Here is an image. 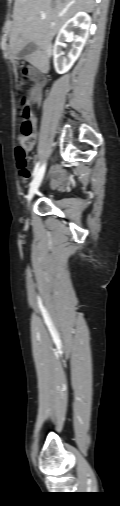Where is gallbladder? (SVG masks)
Here are the masks:
<instances>
[{
    "label": "gallbladder",
    "mask_w": 120,
    "mask_h": 506,
    "mask_svg": "<svg viewBox=\"0 0 120 506\" xmlns=\"http://www.w3.org/2000/svg\"><path fill=\"white\" fill-rule=\"evenodd\" d=\"M36 50L37 45L34 42H30L23 48L20 55L21 57L26 58L27 56H30L32 53H34Z\"/></svg>",
    "instance_id": "1"
}]
</instances>
